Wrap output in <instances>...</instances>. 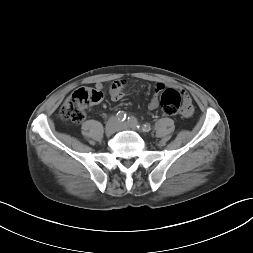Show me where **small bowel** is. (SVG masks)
Listing matches in <instances>:
<instances>
[{"label":"small bowel","mask_w":253,"mask_h":253,"mask_svg":"<svg viewBox=\"0 0 253 253\" xmlns=\"http://www.w3.org/2000/svg\"><path fill=\"white\" fill-rule=\"evenodd\" d=\"M127 81L125 79H120L112 83L109 94L114 101L121 100L124 96L123 88L126 86ZM166 85L164 83H157L154 88V95L150 99L148 103V108L150 110H155L159 107V94L165 89ZM96 88L99 90L103 89L102 84H97ZM183 95V104L180 108L181 114L186 118H191L194 113V107L192 105V100L188 94H186L183 90H180Z\"/></svg>","instance_id":"small-bowel-1"}]
</instances>
